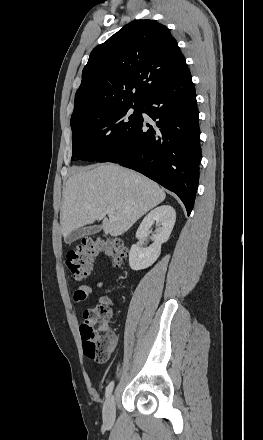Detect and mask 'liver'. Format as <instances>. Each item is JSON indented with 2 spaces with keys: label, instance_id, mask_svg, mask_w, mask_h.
<instances>
[{
  "label": "liver",
  "instance_id": "6515ba94",
  "mask_svg": "<svg viewBox=\"0 0 263 440\" xmlns=\"http://www.w3.org/2000/svg\"><path fill=\"white\" fill-rule=\"evenodd\" d=\"M165 197L157 183L119 165L77 168L63 191L62 235L102 220L105 236H120ZM108 206L115 208L110 214Z\"/></svg>",
  "mask_w": 263,
  "mask_h": 440
}]
</instances>
